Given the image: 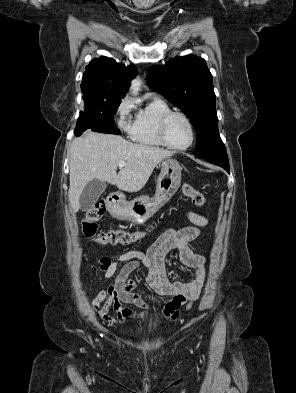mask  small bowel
<instances>
[{"instance_id": "1", "label": "small bowel", "mask_w": 296, "mask_h": 393, "mask_svg": "<svg viewBox=\"0 0 296 393\" xmlns=\"http://www.w3.org/2000/svg\"><path fill=\"white\" fill-rule=\"evenodd\" d=\"M186 216L192 226L166 230L146 253L128 251L113 259L106 256L100 259V270L106 279H111L119 270L108 287L100 291L92 301L93 308L107 324L113 326L130 319H143L148 315L146 300L142 294L135 292L137 285L129 278L130 274L139 268L145 271L146 282L157 295L172 297L161 311L164 318L173 322L179 318L183 308H192L202 292L206 259L203 255L194 253L191 244L209 220L193 211H188ZM171 250L178 252L179 259L185 266L196 270L190 282L169 281L164 260ZM123 304H133L144 311L134 313ZM109 309L116 312L117 319L108 315Z\"/></svg>"}]
</instances>
